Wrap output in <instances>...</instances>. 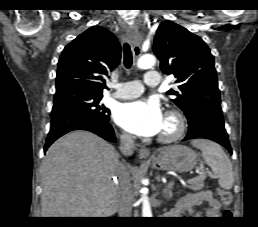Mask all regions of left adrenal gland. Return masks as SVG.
<instances>
[{
	"label": "left adrenal gland",
	"instance_id": "1",
	"mask_svg": "<svg viewBox=\"0 0 258 227\" xmlns=\"http://www.w3.org/2000/svg\"><path fill=\"white\" fill-rule=\"evenodd\" d=\"M164 193L168 194L167 198H170L172 195V191H171V183H169L166 188L164 189Z\"/></svg>",
	"mask_w": 258,
	"mask_h": 227
}]
</instances>
